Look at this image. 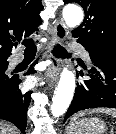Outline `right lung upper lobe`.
I'll return each mask as SVG.
<instances>
[{
	"label": "right lung upper lobe",
	"mask_w": 116,
	"mask_h": 134,
	"mask_svg": "<svg viewBox=\"0 0 116 134\" xmlns=\"http://www.w3.org/2000/svg\"><path fill=\"white\" fill-rule=\"evenodd\" d=\"M42 10L41 0H0V62H8L13 41L34 34Z\"/></svg>",
	"instance_id": "right-lung-upper-lobe-1"
}]
</instances>
